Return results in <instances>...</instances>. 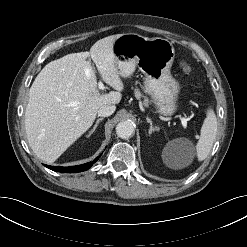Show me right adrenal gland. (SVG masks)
<instances>
[{
	"label": "right adrenal gland",
	"mask_w": 247,
	"mask_h": 247,
	"mask_svg": "<svg viewBox=\"0 0 247 247\" xmlns=\"http://www.w3.org/2000/svg\"><path fill=\"white\" fill-rule=\"evenodd\" d=\"M103 119H104V118H99V119H97V121H96L94 127H93L92 130L89 132V135H88V136H90V135L95 131V129L97 128L98 124H99Z\"/></svg>",
	"instance_id": "obj_1"
}]
</instances>
